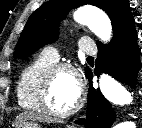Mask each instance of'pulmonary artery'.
<instances>
[{"label":"pulmonary artery","mask_w":142,"mask_h":128,"mask_svg":"<svg viewBox=\"0 0 142 128\" xmlns=\"http://www.w3.org/2000/svg\"><path fill=\"white\" fill-rule=\"evenodd\" d=\"M79 49L87 55H95L97 52V48L94 42L86 37L80 39ZM41 54L53 62H57L59 59L58 50L53 46L45 47Z\"/></svg>","instance_id":"e3ab8cb5"}]
</instances>
